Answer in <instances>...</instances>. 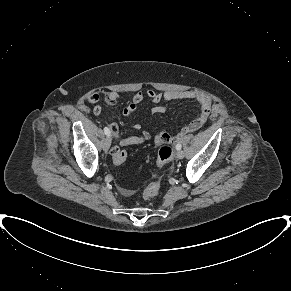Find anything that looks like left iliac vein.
<instances>
[{"mask_svg": "<svg viewBox=\"0 0 291 291\" xmlns=\"http://www.w3.org/2000/svg\"><path fill=\"white\" fill-rule=\"evenodd\" d=\"M176 155H177V158H179V159H183L184 158V152L182 150H178Z\"/></svg>", "mask_w": 291, "mask_h": 291, "instance_id": "obj_1", "label": "left iliac vein"}]
</instances>
